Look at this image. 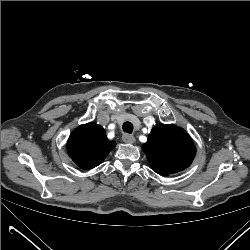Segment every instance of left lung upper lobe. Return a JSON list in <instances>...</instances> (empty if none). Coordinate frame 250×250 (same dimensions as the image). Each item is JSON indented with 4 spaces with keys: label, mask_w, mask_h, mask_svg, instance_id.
Masks as SVG:
<instances>
[{
    "label": "left lung upper lobe",
    "mask_w": 250,
    "mask_h": 250,
    "mask_svg": "<svg viewBox=\"0 0 250 250\" xmlns=\"http://www.w3.org/2000/svg\"><path fill=\"white\" fill-rule=\"evenodd\" d=\"M151 168L161 176L178 173L192 163L196 149L189 134L176 125L155 126L142 145Z\"/></svg>",
    "instance_id": "5c2ea615"
}]
</instances>
